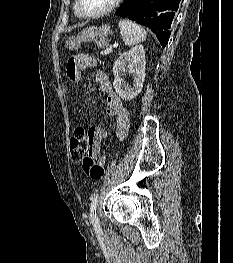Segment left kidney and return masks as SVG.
<instances>
[{
    "label": "left kidney",
    "instance_id": "5707ae66",
    "mask_svg": "<svg viewBox=\"0 0 233 263\" xmlns=\"http://www.w3.org/2000/svg\"><path fill=\"white\" fill-rule=\"evenodd\" d=\"M145 50L142 45L132 47L129 51L121 54L113 65L115 76L113 86L116 93L125 101L132 100L142 90L145 81ZM123 73H129L134 78L133 87L125 84L120 77Z\"/></svg>",
    "mask_w": 233,
    "mask_h": 263
}]
</instances>
